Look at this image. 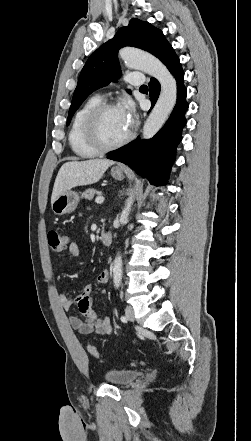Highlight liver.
Listing matches in <instances>:
<instances>
[{
    "label": "liver",
    "instance_id": "6515ba94",
    "mask_svg": "<svg viewBox=\"0 0 251 441\" xmlns=\"http://www.w3.org/2000/svg\"><path fill=\"white\" fill-rule=\"evenodd\" d=\"M113 164L114 161L106 159L71 161L63 164L55 179L51 202L74 187L98 182L108 167Z\"/></svg>",
    "mask_w": 251,
    "mask_h": 441
}]
</instances>
